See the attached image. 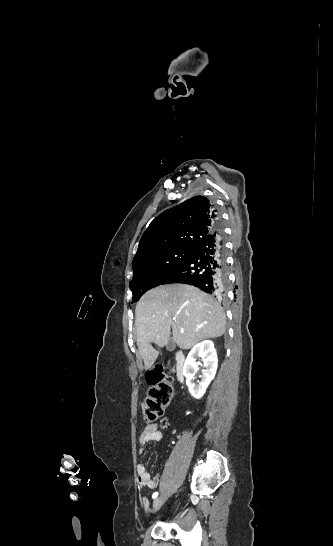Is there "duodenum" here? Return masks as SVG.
<instances>
[{
  "instance_id": "duodenum-1",
  "label": "duodenum",
  "mask_w": 333,
  "mask_h": 546,
  "mask_svg": "<svg viewBox=\"0 0 333 546\" xmlns=\"http://www.w3.org/2000/svg\"><path fill=\"white\" fill-rule=\"evenodd\" d=\"M183 364L184 356L182 354L177 355V378L179 381H183Z\"/></svg>"
}]
</instances>
